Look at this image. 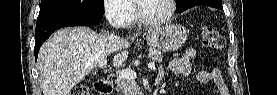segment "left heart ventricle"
<instances>
[{"label": "left heart ventricle", "mask_w": 277, "mask_h": 95, "mask_svg": "<svg viewBox=\"0 0 277 95\" xmlns=\"http://www.w3.org/2000/svg\"><path fill=\"white\" fill-rule=\"evenodd\" d=\"M141 14L148 19H161L168 15L167 0H144L140 4Z\"/></svg>", "instance_id": "left-heart-ventricle-1"}]
</instances>
